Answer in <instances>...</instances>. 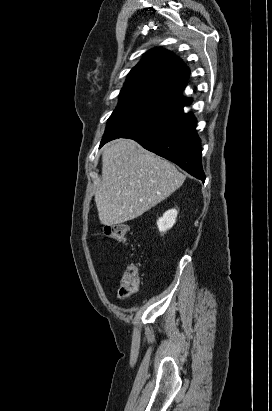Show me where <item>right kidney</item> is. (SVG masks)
<instances>
[{"instance_id":"ca27d5eb","label":"right kidney","mask_w":272,"mask_h":411,"mask_svg":"<svg viewBox=\"0 0 272 411\" xmlns=\"http://www.w3.org/2000/svg\"><path fill=\"white\" fill-rule=\"evenodd\" d=\"M177 214L178 211L176 209H170L157 220V226L161 233H165L167 230L172 228L176 222Z\"/></svg>"}]
</instances>
